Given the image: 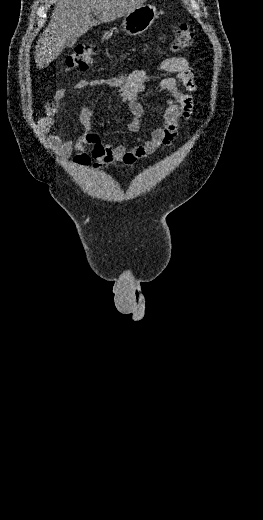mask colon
Wrapping results in <instances>:
<instances>
[{"label": "colon", "instance_id": "5ec220e1", "mask_svg": "<svg viewBox=\"0 0 263 520\" xmlns=\"http://www.w3.org/2000/svg\"><path fill=\"white\" fill-rule=\"evenodd\" d=\"M194 40V31L187 24L182 23L175 31L172 40V49L180 51L190 47ZM97 47L93 44L77 46L66 58L68 68L77 71H86L94 62Z\"/></svg>", "mask_w": 263, "mask_h": 520}]
</instances>
